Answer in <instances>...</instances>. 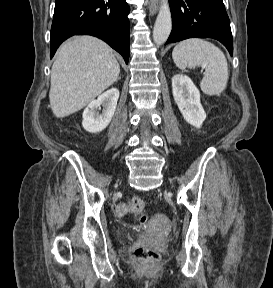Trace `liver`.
Instances as JSON below:
<instances>
[{
	"label": "liver",
	"instance_id": "6515ba94",
	"mask_svg": "<svg viewBox=\"0 0 273 288\" xmlns=\"http://www.w3.org/2000/svg\"><path fill=\"white\" fill-rule=\"evenodd\" d=\"M120 73L113 50L92 36L63 43L51 70L50 107L58 118L69 116L111 86Z\"/></svg>",
	"mask_w": 273,
	"mask_h": 288
}]
</instances>
